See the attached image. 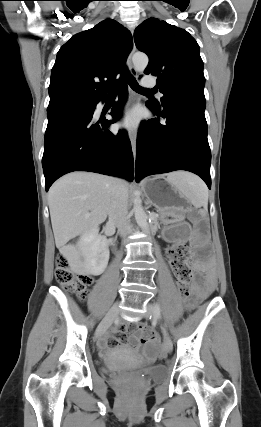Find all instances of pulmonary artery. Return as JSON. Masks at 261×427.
Listing matches in <instances>:
<instances>
[{"instance_id": "pulmonary-artery-1", "label": "pulmonary artery", "mask_w": 261, "mask_h": 427, "mask_svg": "<svg viewBox=\"0 0 261 427\" xmlns=\"http://www.w3.org/2000/svg\"><path fill=\"white\" fill-rule=\"evenodd\" d=\"M142 86L146 88H153L156 86V81L153 78L146 77L142 80ZM159 96H162V93H159Z\"/></svg>"}]
</instances>
